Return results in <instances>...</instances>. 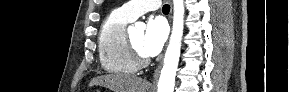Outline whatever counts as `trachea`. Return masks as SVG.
<instances>
[{
  "label": "trachea",
  "instance_id": "obj_1",
  "mask_svg": "<svg viewBox=\"0 0 289 92\" xmlns=\"http://www.w3.org/2000/svg\"><path fill=\"white\" fill-rule=\"evenodd\" d=\"M163 12H169L170 11V6L168 4H165L162 8Z\"/></svg>",
  "mask_w": 289,
  "mask_h": 92
}]
</instances>
